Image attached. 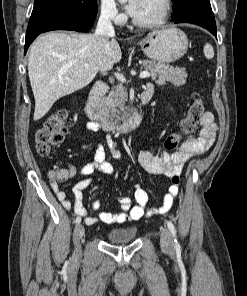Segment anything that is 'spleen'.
<instances>
[{"label":"spleen","instance_id":"obj_1","mask_svg":"<svg viewBox=\"0 0 247 296\" xmlns=\"http://www.w3.org/2000/svg\"><path fill=\"white\" fill-rule=\"evenodd\" d=\"M203 52H204V55L207 59H212L214 57V50H213V47L206 43L204 48H203Z\"/></svg>","mask_w":247,"mask_h":296}]
</instances>
